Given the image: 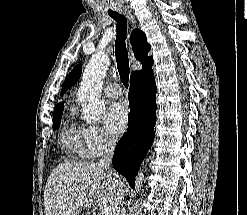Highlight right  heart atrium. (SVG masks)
Returning <instances> with one entry per match:
<instances>
[{
  "mask_svg": "<svg viewBox=\"0 0 247 215\" xmlns=\"http://www.w3.org/2000/svg\"><path fill=\"white\" fill-rule=\"evenodd\" d=\"M79 130L86 144L88 157H98L116 146L117 138L105 127L81 126Z\"/></svg>",
  "mask_w": 247,
  "mask_h": 215,
  "instance_id": "right-heart-atrium-1",
  "label": "right heart atrium"
}]
</instances>
